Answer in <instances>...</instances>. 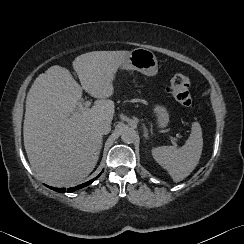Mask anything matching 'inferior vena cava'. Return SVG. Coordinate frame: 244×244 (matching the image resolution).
<instances>
[{"label": "inferior vena cava", "instance_id": "obj_1", "mask_svg": "<svg viewBox=\"0 0 244 244\" xmlns=\"http://www.w3.org/2000/svg\"><path fill=\"white\" fill-rule=\"evenodd\" d=\"M97 130L100 134H108L111 130V124L107 120H102L97 124Z\"/></svg>", "mask_w": 244, "mask_h": 244}]
</instances>
